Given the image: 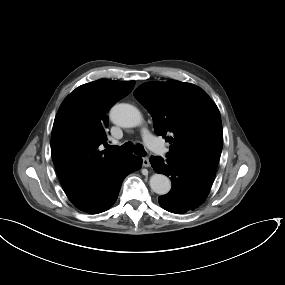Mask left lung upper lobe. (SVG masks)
Returning a JSON list of instances; mask_svg holds the SVG:
<instances>
[{"mask_svg": "<svg viewBox=\"0 0 285 285\" xmlns=\"http://www.w3.org/2000/svg\"><path fill=\"white\" fill-rule=\"evenodd\" d=\"M134 96L151 114L156 134L167 136V158L216 173L222 122L216 104L201 88L175 80L151 81L139 86Z\"/></svg>", "mask_w": 285, "mask_h": 285, "instance_id": "1", "label": "left lung upper lobe"}]
</instances>
